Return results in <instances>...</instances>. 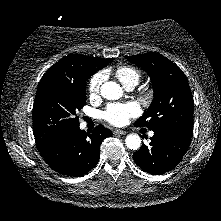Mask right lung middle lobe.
I'll return each instance as SVG.
<instances>
[{
    "instance_id": "obj_1",
    "label": "right lung middle lobe",
    "mask_w": 221,
    "mask_h": 221,
    "mask_svg": "<svg viewBox=\"0 0 221 221\" xmlns=\"http://www.w3.org/2000/svg\"><path fill=\"white\" fill-rule=\"evenodd\" d=\"M86 103V81L42 79L33 105V133L36 144L79 125L76 116Z\"/></svg>"
}]
</instances>
